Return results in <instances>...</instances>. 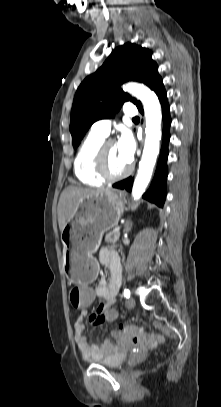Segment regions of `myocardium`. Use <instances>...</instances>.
<instances>
[{"mask_svg":"<svg viewBox=\"0 0 221 407\" xmlns=\"http://www.w3.org/2000/svg\"><path fill=\"white\" fill-rule=\"evenodd\" d=\"M116 143L114 139H106L100 145L95 157L96 174L104 181H118L127 177L133 170V164L129 163L128 167L119 174H112L107 168V149L110 145Z\"/></svg>","mask_w":221,"mask_h":407,"instance_id":"f54148a6","label":"myocardium"}]
</instances>
